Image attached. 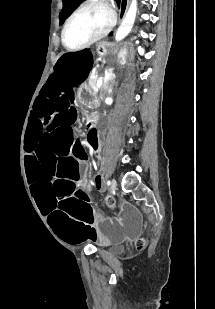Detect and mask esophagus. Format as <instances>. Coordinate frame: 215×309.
Here are the masks:
<instances>
[{
	"label": "esophagus",
	"mask_w": 215,
	"mask_h": 309,
	"mask_svg": "<svg viewBox=\"0 0 215 309\" xmlns=\"http://www.w3.org/2000/svg\"><path fill=\"white\" fill-rule=\"evenodd\" d=\"M129 0H121L120 11H119V20L122 21L127 9H128Z\"/></svg>",
	"instance_id": "1"
}]
</instances>
